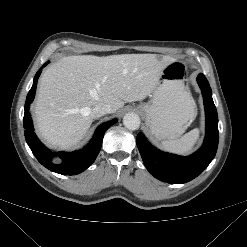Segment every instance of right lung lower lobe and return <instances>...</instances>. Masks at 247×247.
Returning a JSON list of instances; mask_svg holds the SVG:
<instances>
[{"instance_id":"1","label":"right lung lower lobe","mask_w":247,"mask_h":247,"mask_svg":"<svg viewBox=\"0 0 247 247\" xmlns=\"http://www.w3.org/2000/svg\"><path fill=\"white\" fill-rule=\"evenodd\" d=\"M45 63V65H47ZM42 67V68H43ZM41 69L36 73L33 85L27 95L25 103V113H24V128H25V139L29 145L32 153L37 158V160L47 169L62 175H76L87 169L96 159L102 145V140L105 131L117 122V119H113L109 122L100 125L90 143L86 148L80 151H75L72 153L59 152L54 153L48 150L37 138L34 133L32 118L29 114L30 104L34 99L37 79L40 76ZM54 156H59L62 159L61 164H53L52 158Z\"/></svg>"}]
</instances>
